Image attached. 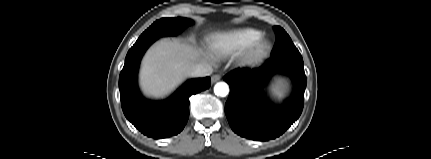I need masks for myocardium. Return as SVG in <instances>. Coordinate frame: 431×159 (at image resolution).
I'll use <instances>...</instances> for the list:
<instances>
[{
	"label": "myocardium",
	"instance_id": "obj_1",
	"mask_svg": "<svg viewBox=\"0 0 431 159\" xmlns=\"http://www.w3.org/2000/svg\"><path fill=\"white\" fill-rule=\"evenodd\" d=\"M271 48V42L261 35L245 47L241 54V61L243 63L256 62L266 57L270 53Z\"/></svg>",
	"mask_w": 431,
	"mask_h": 159
}]
</instances>
